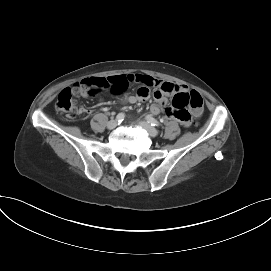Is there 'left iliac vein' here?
I'll list each match as a JSON object with an SVG mask.
<instances>
[{"label": "left iliac vein", "instance_id": "4c4485c4", "mask_svg": "<svg viewBox=\"0 0 271 271\" xmlns=\"http://www.w3.org/2000/svg\"><path fill=\"white\" fill-rule=\"evenodd\" d=\"M138 125L145 129L151 137H156L158 135V130L146 121H139Z\"/></svg>", "mask_w": 271, "mask_h": 271}]
</instances>
